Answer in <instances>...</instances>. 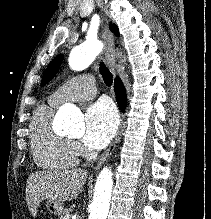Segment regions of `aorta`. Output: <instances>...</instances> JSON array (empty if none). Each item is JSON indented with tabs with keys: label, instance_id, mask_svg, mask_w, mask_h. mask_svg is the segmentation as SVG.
<instances>
[{
	"label": "aorta",
	"instance_id": "obj_1",
	"mask_svg": "<svg viewBox=\"0 0 211 219\" xmlns=\"http://www.w3.org/2000/svg\"><path fill=\"white\" fill-rule=\"evenodd\" d=\"M99 51L100 46L97 42L86 41L72 49L69 56V66L74 71L83 70L94 61ZM58 117L66 126L69 134L73 136H82L84 134L85 124L82 114L75 106L71 104L62 106L58 111ZM112 188V172L107 167L103 168L95 184L89 219H107Z\"/></svg>",
	"mask_w": 211,
	"mask_h": 219
}]
</instances>
